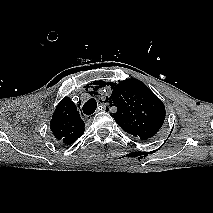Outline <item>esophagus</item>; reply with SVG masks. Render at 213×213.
Listing matches in <instances>:
<instances>
[{
    "label": "esophagus",
    "instance_id": "obj_1",
    "mask_svg": "<svg viewBox=\"0 0 213 213\" xmlns=\"http://www.w3.org/2000/svg\"><path fill=\"white\" fill-rule=\"evenodd\" d=\"M107 106V104H102L103 110H106Z\"/></svg>",
    "mask_w": 213,
    "mask_h": 213
}]
</instances>
